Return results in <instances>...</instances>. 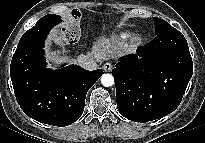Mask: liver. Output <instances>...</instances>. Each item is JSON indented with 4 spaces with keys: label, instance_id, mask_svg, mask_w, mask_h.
Instances as JSON below:
<instances>
[{
    "label": "liver",
    "instance_id": "6515ba94",
    "mask_svg": "<svg viewBox=\"0 0 205 143\" xmlns=\"http://www.w3.org/2000/svg\"><path fill=\"white\" fill-rule=\"evenodd\" d=\"M125 48L122 47L119 39L113 36H99L91 47L87 56L93 57L98 63L104 60L115 59L124 54ZM71 63H78L77 59H71Z\"/></svg>",
    "mask_w": 205,
    "mask_h": 143
}]
</instances>
